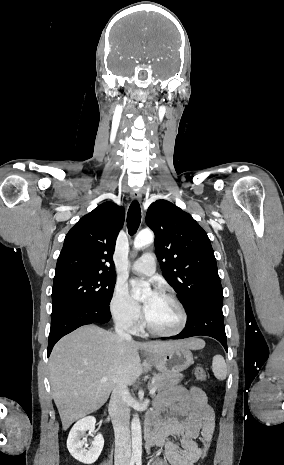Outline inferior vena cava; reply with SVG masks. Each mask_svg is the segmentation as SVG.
I'll use <instances>...</instances> for the list:
<instances>
[{
	"mask_svg": "<svg viewBox=\"0 0 284 465\" xmlns=\"http://www.w3.org/2000/svg\"><path fill=\"white\" fill-rule=\"evenodd\" d=\"M126 329H128V325L119 319L115 325V333L125 341H132V337L126 333ZM129 399L130 393L126 385H118L115 387L109 403V415L115 433V465H129L130 463Z\"/></svg>",
	"mask_w": 284,
	"mask_h": 465,
	"instance_id": "obj_1",
	"label": "inferior vena cava"
}]
</instances>
